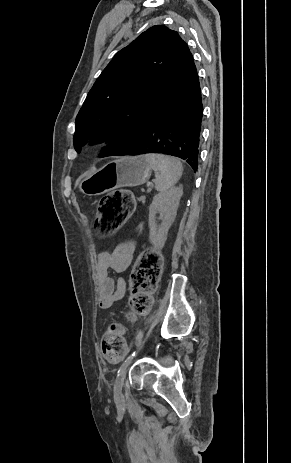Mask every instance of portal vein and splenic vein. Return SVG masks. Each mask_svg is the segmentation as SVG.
<instances>
[{"mask_svg": "<svg viewBox=\"0 0 291 463\" xmlns=\"http://www.w3.org/2000/svg\"><path fill=\"white\" fill-rule=\"evenodd\" d=\"M149 186H150V187L148 188V191H151L152 184L149 183Z\"/></svg>", "mask_w": 291, "mask_h": 463, "instance_id": "obj_1", "label": "portal vein and splenic vein"}]
</instances>
